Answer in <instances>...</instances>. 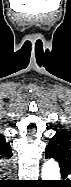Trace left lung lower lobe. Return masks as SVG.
<instances>
[{"label": "left lung lower lobe", "mask_w": 71, "mask_h": 187, "mask_svg": "<svg viewBox=\"0 0 71 187\" xmlns=\"http://www.w3.org/2000/svg\"><path fill=\"white\" fill-rule=\"evenodd\" d=\"M46 158H53L59 162V160L56 158V156L52 155L50 153H46ZM59 165H60L62 177H63V179H66L68 175H71V170H70V168L63 166L62 163H60V162H59Z\"/></svg>", "instance_id": "left-lung-lower-lobe-1"}]
</instances>
